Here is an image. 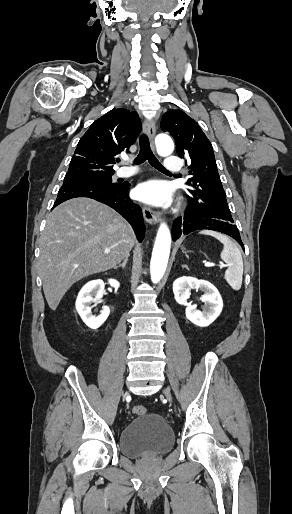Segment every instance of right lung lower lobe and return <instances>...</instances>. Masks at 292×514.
Here are the masks:
<instances>
[{
    "label": "right lung lower lobe",
    "mask_w": 292,
    "mask_h": 514,
    "mask_svg": "<svg viewBox=\"0 0 292 514\" xmlns=\"http://www.w3.org/2000/svg\"><path fill=\"white\" fill-rule=\"evenodd\" d=\"M128 182L117 186L99 185L89 182H64L59 189L54 207L60 203L76 198L88 197L104 203L120 213L133 227L139 241L145 234V225L142 210L138 204L129 198ZM52 208V209H53Z\"/></svg>",
    "instance_id": "right-lung-lower-lobe-1"
}]
</instances>
